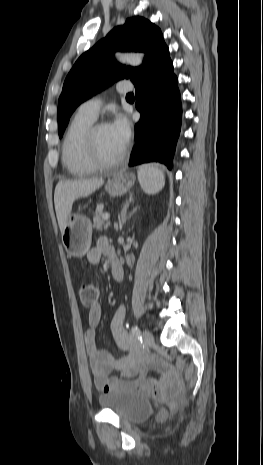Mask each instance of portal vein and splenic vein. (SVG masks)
<instances>
[{
	"instance_id": "portal-vein-and-splenic-vein-1",
	"label": "portal vein and splenic vein",
	"mask_w": 263,
	"mask_h": 465,
	"mask_svg": "<svg viewBox=\"0 0 263 465\" xmlns=\"http://www.w3.org/2000/svg\"><path fill=\"white\" fill-rule=\"evenodd\" d=\"M110 218V214L106 213L103 215V219L108 220Z\"/></svg>"
}]
</instances>
